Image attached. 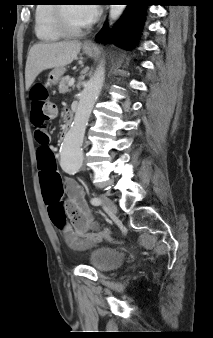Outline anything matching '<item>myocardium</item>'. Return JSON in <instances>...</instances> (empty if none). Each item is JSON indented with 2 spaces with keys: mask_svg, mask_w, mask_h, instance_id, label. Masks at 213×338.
<instances>
[{
  "mask_svg": "<svg viewBox=\"0 0 213 338\" xmlns=\"http://www.w3.org/2000/svg\"><path fill=\"white\" fill-rule=\"evenodd\" d=\"M66 6L67 5L60 4L55 7V26L57 30L66 37H79L89 31V26L82 29H73L68 25L65 17Z\"/></svg>",
  "mask_w": 213,
  "mask_h": 338,
  "instance_id": "f54148a6",
  "label": "myocardium"
}]
</instances>
